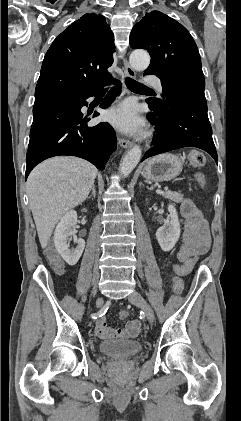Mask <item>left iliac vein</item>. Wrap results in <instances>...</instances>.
<instances>
[{"mask_svg": "<svg viewBox=\"0 0 241 421\" xmlns=\"http://www.w3.org/2000/svg\"><path fill=\"white\" fill-rule=\"evenodd\" d=\"M129 301L137 306H139L146 315L147 320L150 323L154 321V312L148 302L142 297V295L134 290L128 297Z\"/></svg>", "mask_w": 241, "mask_h": 421, "instance_id": "4c4485c4", "label": "left iliac vein"}]
</instances>
